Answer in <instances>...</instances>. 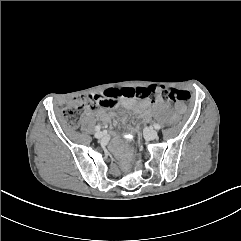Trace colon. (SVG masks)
Returning <instances> with one entry per match:
<instances>
[{
  "label": "colon",
  "mask_w": 241,
  "mask_h": 241,
  "mask_svg": "<svg viewBox=\"0 0 241 241\" xmlns=\"http://www.w3.org/2000/svg\"><path fill=\"white\" fill-rule=\"evenodd\" d=\"M142 98L150 100H163L168 102L184 103L190 99V94L183 90L170 89L160 86H148L137 88H121L119 86L102 87L97 94L90 96H77L71 99L62 110V115L70 125H77L79 113L85 108H93L96 105L111 106L119 98ZM179 121V115L173 114L166 125L174 126Z\"/></svg>",
  "instance_id": "5ec220e1"
}]
</instances>
